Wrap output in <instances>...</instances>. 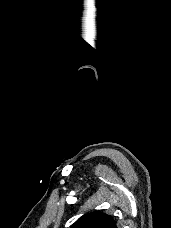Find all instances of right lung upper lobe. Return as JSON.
Here are the masks:
<instances>
[{
  "label": "right lung upper lobe",
  "instance_id": "obj_1",
  "mask_svg": "<svg viewBox=\"0 0 171 228\" xmlns=\"http://www.w3.org/2000/svg\"><path fill=\"white\" fill-rule=\"evenodd\" d=\"M70 228H117L112 216L94 211L79 218Z\"/></svg>",
  "mask_w": 171,
  "mask_h": 228
}]
</instances>
